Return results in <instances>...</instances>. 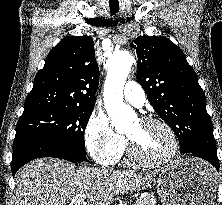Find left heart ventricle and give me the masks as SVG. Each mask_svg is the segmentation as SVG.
I'll return each mask as SVG.
<instances>
[{"label": "left heart ventricle", "instance_id": "1", "mask_svg": "<svg viewBox=\"0 0 222 205\" xmlns=\"http://www.w3.org/2000/svg\"><path fill=\"white\" fill-rule=\"evenodd\" d=\"M125 134L134 141L140 155L147 159H161L172 147L169 134L158 124H144L135 120Z\"/></svg>", "mask_w": 222, "mask_h": 205}]
</instances>
